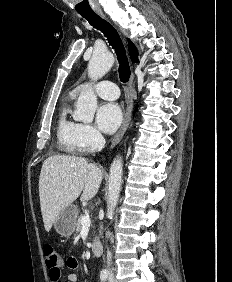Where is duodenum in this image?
Masks as SVG:
<instances>
[{"mask_svg": "<svg viewBox=\"0 0 232 282\" xmlns=\"http://www.w3.org/2000/svg\"><path fill=\"white\" fill-rule=\"evenodd\" d=\"M91 250L94 256L100 257L103 253V246L100 241L94 240L91 244Z\"/></svg>", "mask_w": 232, "mask_h": 282, "instance_id": "duodenum-1", "label": "duodenum"}]
</instances>
